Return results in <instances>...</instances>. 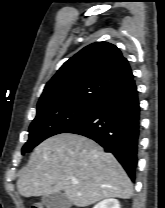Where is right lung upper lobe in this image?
Here are the masks:
<instances>
[{
  "label": "right lung upper lobe",
  "instance_id": "cb5924a9",
  "mask_svg": "<svg viewBox=\"0 0 165 208\" xmlns=\"http://www.w3.org/2000/svg\"><path fill=\"white\" fill-rule=\"evenodd\" d=\"M132 79V70L121 51L108 42H96L62 65L46 84L37 109L63 102L97 103Z\"/></svg>",
  "mask_w": 165,
  "mask_h": 208
}]
</instances>
